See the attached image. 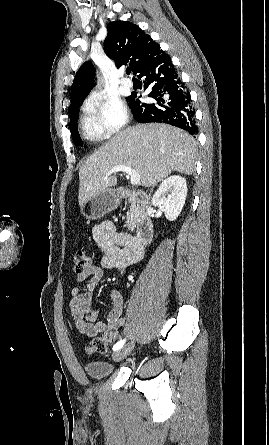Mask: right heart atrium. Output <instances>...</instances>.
Instances as JSON below:
<instances>
[{
	"label": "right heart atrium",
	"instance_id": "obj_1",
	"mask_svg": "<svg viewBox=\"0 0 269 445\" xmlns=\"http://www.w3.org/2000/svg\"><path fill=\"white\" fill-rule=\"evenodd\" d=\"M85 110L109 135L122 130L129 120L128 109L123 100L105 92L91 94L85 102Z\"/></svg>",
	"mask_w": 269,
	"mask_h": 445
}]
</instances>
